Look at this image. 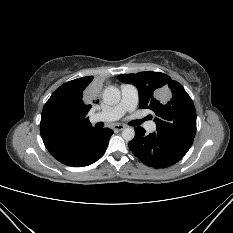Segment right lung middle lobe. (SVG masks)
<instances>
[{
    "label": "right lung middle lobe",
    "mask_w": 233,
    "mask_h": 233,
    "mask_svg": "<svg viewBox=\"0 0 233 233\" xmlns=\"http://www.w3.org/2000/svg\"><path fill=\"white\" fill-rule=\"evenodd\" d=\"M77 118L78 108L75 103L55 91L43 108L40 130L47 133L63 131L73 127Z\"/></svg>",
    "instance_id": "dd1d6c3e"
}]
</instances>
